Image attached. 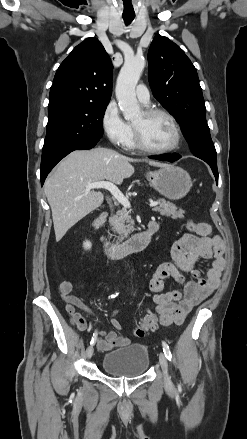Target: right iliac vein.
I'll return each mask as SVG.
<instances>
[{"label": "right iliac vein", "instance_id": "obj_1", "mask_svg": "<svg viewBox=\"0 0 247 439\" xmlns=\"http://www.w3.org/2000/svg\"><path fill=\"white\" fill-rule=\"evenodd\" d=\"M93 353H94V348H93V346H89L88 349H87V351H86L87 358L90 359V358L93 356Z\"/></svg>", "mask_w": 247, "mask_h": 439}]
</instances>
